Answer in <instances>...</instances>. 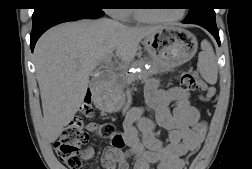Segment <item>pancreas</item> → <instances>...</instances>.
I'll return each mask as SVG.
<instances>
[{
  "label": "pancreas",
  "mask_w": 252,
  "mask_h": 169,
  "mask_svg": "<svg viewBox=\"0 0 252 169\" xmlns=\"http://www.w3.org/2000/svg\"><path fill=\"white\" fill-rule=\"evenodd\" d=\"M145 61H140L139 65H143ZM154 69L150 68L149 70H146L143 66H141V72L127 75L126 80L129 82H133L135 80L141 79V80H147L151 76V74L154 73ZM116 79L118 78V75L115 77Z\"/></svg>",
  "instance_id": "pancreas-1"
}]
</instances>
